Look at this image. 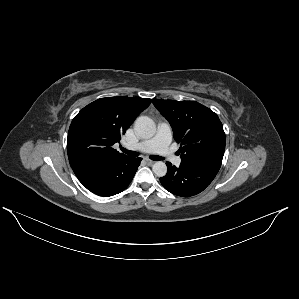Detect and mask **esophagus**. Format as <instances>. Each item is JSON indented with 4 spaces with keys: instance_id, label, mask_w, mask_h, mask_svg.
<instances>
[{
    "instance_id": "esophagus-1",
    "label": "esophagus",
    "mask_w": 299,
    "mask_h": 299,
    "mask_svg": "<svg viewBox=\"0 0 299 299\" xmlns=\"http://www.w3.org/2000/svg\"><path fill=\"white\" fill-rule=\"evenodd\" d=\"M145 162L148 164V165H153L155 163V161H152L148 158L145 159Z\"/></svg>"
}]
</instances>
